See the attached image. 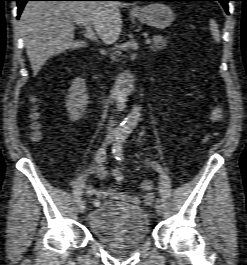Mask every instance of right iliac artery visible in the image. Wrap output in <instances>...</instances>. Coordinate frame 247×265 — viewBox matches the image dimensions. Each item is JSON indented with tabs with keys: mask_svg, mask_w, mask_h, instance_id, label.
I'll return each instance as SVG.
<instances>
[{
	"mask_svg": "<svg viewBox=\"0 0 247 265\" xmlns=\"http://www.w3.org/2000/svg\"><path fill=\"white\" fill-rule=\"evenodd\" d=\"M120 136V132L118 131H114L112 133V135L110 136V138H113V137H118ZM106 143H104L96 152V155H95V160L98 164H102L103 162H105V159H106ZM100 204V201L95 199L93 201V206H98Z\"/></svg>",
	"mask_w": 247,
	"mask_h": 265,
	"instance_id": "1",
	"label": "right iliac artery"
}]
</instances>
